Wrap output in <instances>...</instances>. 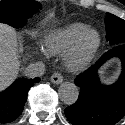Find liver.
<instances>
[{
	"label": "liver",
	"mask_w": 125,
	"mask_h": 125,
	"mask_svg": "<svg viewBox=\"0 0 125 125\" xmlns=\"http://www.w3.org/2000/svg\"><path fill=\"white\" fill-rule=\"evenodd\" d=\"M20 65L16 32L7 24L0 23V91L14 81Z\"/></svg>",
	"instance_id": "obj_1"
}]
</instances>
